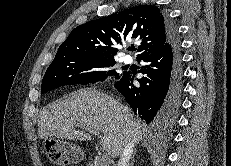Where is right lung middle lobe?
Masks as SVG:
<instances>
[{
	"mask_svg": "<svg viewBox=\"0 0 231 166\" xmlns=\"http://www.w3.org/2000/svg\"><path fill=\"white\" fill-rule=\"evenodd\" d=\"M114 57L101 55H81L53 60L48 67L41 86V93L73 84H88L104 80L108 76L116 75L113 70H97L115 64Z\"/></svg>",
	"mask_w": 231,
	"mask_h": 166,
	"instance_id": "right-lung-middle-lobe-1",
	"label": "right lung middle lobe"
}]
</instances>
